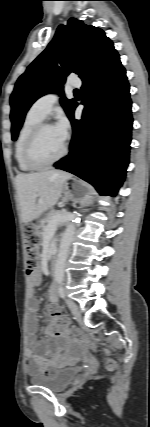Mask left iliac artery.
<instances>
[{
	"label": "left iliac artery",
	"mask_w": 150,
	"mask_h": 427,
	"mask_svg": "<svg viewBox=\"0 0 150 427\" xmlns=\"http://www.w3.org/2000/svg\"><path fill=\"white\" fill-rule=\"evenodd\" d=\"M58 293L61 298L65 297L64 287L61 284L58 287Z\"/></svg>",
	"instance_id": "44dca946"
}]
</instances>
